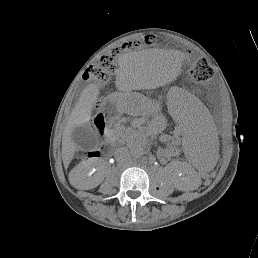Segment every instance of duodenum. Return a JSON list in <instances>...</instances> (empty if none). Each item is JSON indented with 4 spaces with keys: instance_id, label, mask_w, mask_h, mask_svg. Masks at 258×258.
<instances>
[{
    "instance_id": "duodenum-1",
    "label": "duodenum",
    "mask_w": 258,
    "mask_h": 258,
    "mask_svg": "<svg viewBox=\"0 0 258 258\" xmlns=\"http://www.w3.org/2000/svg\"><path fill=\"white\" fill-rule=\"evenodd\" d=\"M109 105H112V104H109ZM93 156H96V157H98V155H93Z\"/></svg>"
}]
</instances>
